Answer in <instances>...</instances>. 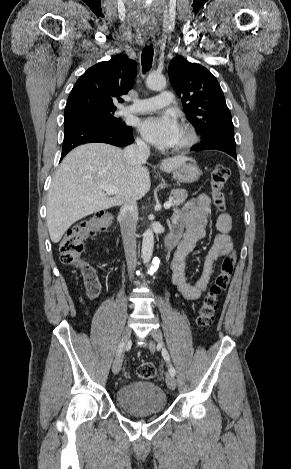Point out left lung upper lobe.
I'll return each instance as SVG.
<instances>
[{
	"label": "left lung upper lobe",
	"mask_w": 291,
	"mask_h": 469,
	"mask_svg": "<svg viewBox=\"0 0 291 469\" xmlns=\"http://www.w3.org/2000/svg\"><path fill=\"white\" fill-rule=\"evenodd\" d=\"M168 73L177 95L182 97L184 113L201 133L202 142L216 137L234 139L232 117L212 73L182 56L172 59Z\"/></svg>",
	"instance_id": "1"
}]
</instances>
